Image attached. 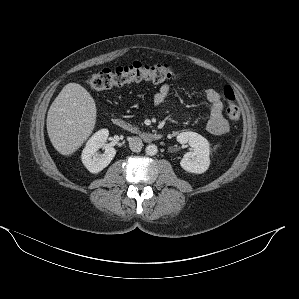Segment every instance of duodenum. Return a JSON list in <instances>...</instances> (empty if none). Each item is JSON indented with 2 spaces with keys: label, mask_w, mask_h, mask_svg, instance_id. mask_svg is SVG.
Instances as JSON below:
<instances>
[{
  "label": "duodenum",
  "mask_w": 299,
  "mask_h": 299,
  "mask_svg": "<svg viewBox=\"0 0 299 299\" xmlns=\"http://www.w3.org/2000/svg\"><path fill=\"white\" fill-rule=\"evenodd\" d=\"M112 124L117 128L126 129V130L131 129L130 125L120 117H114L112 119ZM140 136L147 142L159 141L162 138V135L159 133H149V132H142Z\"/></svg>",
  "instance_id": "obj_1"
}]
</instances>
